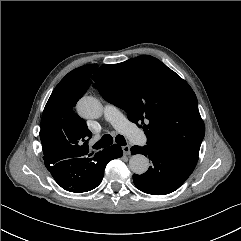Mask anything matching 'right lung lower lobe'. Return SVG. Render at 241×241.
Wrapping results in <instances>:
<instances>
[{
  "mask_svg": "<svg viewBox=\"0 0 241 241\" xmlns=\"http://www.w3.org/2000/svg\"><path fill=\"white\" fill-rule=\"evenodd\" d=\"M122 155L121 147L114 144L95 154L87 153L61 160L43 159L59 186L69 192L81 193L96 188L103 179L108 162Z\"/></svg>",
  "mask_w": 241,
  "mask_h": 241,
  "instance_id": "obj_1",
  "label": "right lung lower lobe"
}]
</instances>
